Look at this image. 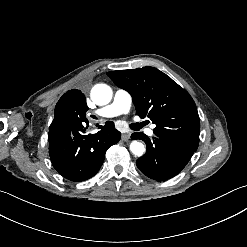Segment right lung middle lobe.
I'll list each match as a JSON object with an SVG mask.
<instances>
[{
  "mask_svg": "<svg viewBox=\"0 0 247 247\" xmlns=\"http://www.w3.org/2000/svg\"><path fill=\"white\" fill-rule=\"evenodd\" d=\"M85 95L77 89L67 91L55 107V116L49 127V134H57L87 121Z\"/></svg>",
  "mask_w": 247,
  "mask_h": 247,
  "instance_id": "obj_1",
  "label": "right lung middle lobe"
}]
</instances>
